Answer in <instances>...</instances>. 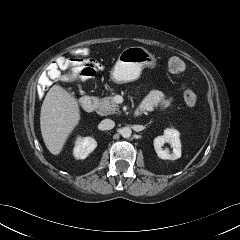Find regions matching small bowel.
Returning <instances> with one entry per match:
<instances>
[{"label":"small bowel","mask_w":240,"mask_h":240,"mask_svg":"<svg viewBox=\"0 0 240 240\" xmlns=\"http://www.w3.org/2000/svg\"><path fill=\"white\" fill-rule=\"evenodd\" d=\"M95 67L98 69H103L104 67L95 62ZM64 70L62 66L58 64L56 60L51 62L44 73L45 78L48 80H59L64 79L65 77L61 74V71ZM164 100V94L159 90L151 91L140 104V111L147 112L152 111L155 107H157Z\"/></svg>","instance_id":"obj_1"}]
</instances>
